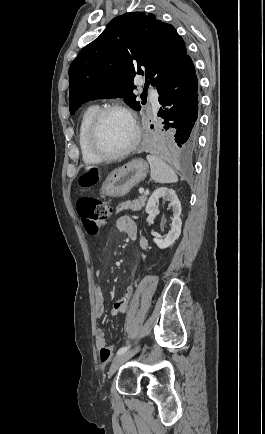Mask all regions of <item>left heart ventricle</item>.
I'll return each mask as SVG.
<instances>
[{"label":"left heart ventricle","mask_w":265,"mask_h":434,"mask_svg":"<svg viewBox=\"0 0 265 434\" xmlns=\"http://www.w3.org/2000/svg\"><path fill=\"white\" fill-rule=\"evenodd\" d=\"M135 129L130 118L121 112L108 114L102 124L101 141L112 153H119L131 146Z\"/></svg>","instance_id":"b2bd125f"}]
</instances>
